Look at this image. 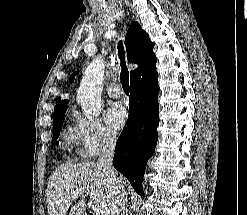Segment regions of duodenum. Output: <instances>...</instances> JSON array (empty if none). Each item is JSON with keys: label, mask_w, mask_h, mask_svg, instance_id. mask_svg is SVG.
<instances>
[{"label": "duodenum", "mask_w": 247, "mask_h": 215, "mask_svg": "<svg viewBox=\"0 0 247 215\" xmlns=\"http://www.w3.org/2000/svg\"><path fill=\"white\" fill-rule=\"evenodd\" d=\"M87 215H93V213H88Z\"/></svg>", "instance_id": "duodenum-1"}]
</instances>
